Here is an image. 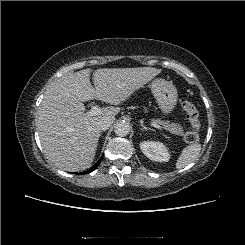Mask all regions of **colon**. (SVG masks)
<instances>
[{
	"instance_id": "obj_1",
	"label": "colon",
	"mask_w": 245,
	"mask_h": 245,
	"mask_svg": "<svg viewBox=\"0 0 245 245\" xmlns=\"http://www.w3.org/2000/svg\"><path fill=\"white\" fill-rule=\"evenodd\" d=\"M181 108L190 123V129L186 132L184 139L188 143H195L200 138L201 128L198 110L195 105L188 100H182Z\"/></svg>"
}]
</instances>
